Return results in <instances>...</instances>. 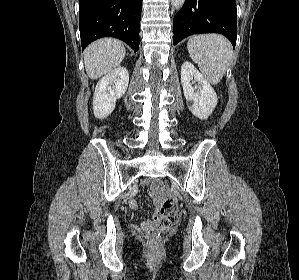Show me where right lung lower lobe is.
I'll use <instances>...</instances> for the list:
<instances>
[{"instance_id": "obj_1", "label": "right lung lower lobe", "mask_w": 299, "mask_h": 280, "mask_svg": "<svg viewBox=\"0 0 299 280\" xmlns=\"http://www.w3.org/2000/svg\"><path fill=\"white\" fill-rule=\"evenodd\" d=\"M141 10L142 0H79L82 49L99 38L115 37L137 51Z\"/></svg>"}]
</instances>
